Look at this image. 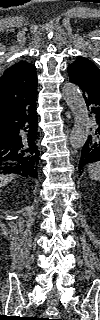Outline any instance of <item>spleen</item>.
<instances>
[{"label":"spleen","mask_w":100,"mask_h":320,"mask_svg":"<svg viewBox=\"0 0 100 320\" xmlns=\"http://www.w3.org/2000/svg\"><path fill=\"white\" fill-rule=\"evenodd\" d=\"M89 177L94 181L100 180V163H92L88 166Z\"/></svg>","instance_id":"spleen-1"}]
</instances>
